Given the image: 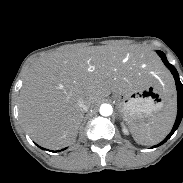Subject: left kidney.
<instances>
[{
    "label": "left kidney",
    "mask_w": 183,
    "mask_h": 183,
    "mask_svg": "<svg viewBox=\"0 0 183 183\" xmlns=\"http://www.w3.org/2000/svg\"><path fill=\"white\" fill-rule=\"evenodd\" d=\"M121 126H122V131L125 135H128L129 134V131L127 129V127L124 125V123H121Z\"/></svg>",
    "instance_id": "5707ae66"
}]
</instances>
